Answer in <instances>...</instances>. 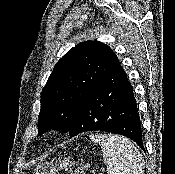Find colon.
<instances>
[{"label": "colon", "mask_w": 175, "mask_h": 174, "mask_svg": "<svg viewBox=\"0 0 175 174\" xmlns=\"http://www.w3.org/2000/svg\"><path fill=\"white\" fill-rule=\"evenodd\" d=\"M63 171L68 174H95L91 165L76 155L45 161L36 167L34 174H60Z\"/></svg>", "instance_id": "colon-1"}]
</instances>
